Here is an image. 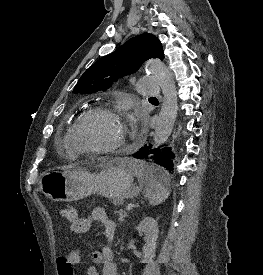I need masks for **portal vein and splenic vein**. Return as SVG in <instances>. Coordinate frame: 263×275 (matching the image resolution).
Instances as JSON below:
<instances>
[{
	"label": "portal vein and splenic vein",
	"instance_id": "portal-vein-and-splenic-vein-1",
	"mask_svg": "<svg viewBox=\"0 0 263 275\" xmlns=\"http://www.w3.org/2000/svg\"><path fill=\"white\" fill-rule=\"evenodd\" d=\"M131 209H132L131 206H127V207L125 208L126 211H130Z\"/></svg>",
	"mask_w": 263,
	"mask_h": 275
}]
</instances>
